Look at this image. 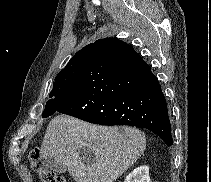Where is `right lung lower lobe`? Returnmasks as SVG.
<instances>
[{
	"instance_id": "98d812e1",
	"label": "right lung lower lobe",
	"mask_w": 211,
	"mask_h": 182,
	"mask_svg": "<svg viewBox=\"0 0 211 182\" xmlns=\"http://www.w3.org/2000/svg\"><path fill=\"white\" fill-rule=\"evenodd\" d=\"M56 111L100 125L146 128L168 146L173 143L157 78L140 55L118 39L94 42L76 88L55 102Z\"/></svg>"
}]
</instances>
